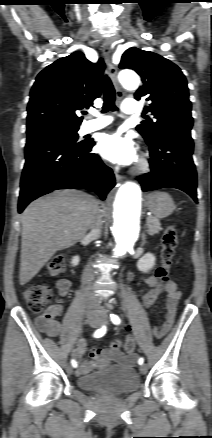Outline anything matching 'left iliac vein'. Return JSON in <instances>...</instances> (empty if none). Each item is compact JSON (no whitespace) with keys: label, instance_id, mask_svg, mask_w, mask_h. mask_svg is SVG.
I'll return each instance as SVG.
<instances>
[{"label":"left iliac vein","instance_id":"4c4485c4","mask_svg":"<svg viewBox=\"0 0 212 438\" xmlns=\"http://www.w3.org/2000/svg\"><path fill=\"white\" fill-rule=\"evenodd\" d=\"M101 320H102L104 323H107V317H106V315L103 314V313L101 314ZM147 370H148L147 365L143 364V365L140 366V372H141V374H146V373H147Z\"/></svg>","mask_w":212,"mask_h":438}]
</instances>
